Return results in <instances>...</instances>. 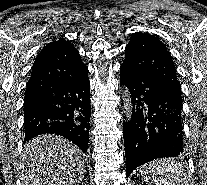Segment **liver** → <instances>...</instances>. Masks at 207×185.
Segmentation results:
<instances>
[{"label":"liver","instance_id":"liver-1","mask_svg":"<svg viewBox=\"0 0 207 185\" xmlns=\"http://www.w3.org/2000/svg\"><path fill=\"white\" fill-rule=\"evenodd\" d=\"M85 165L84 153L68 139L38 135L24 147L21 185H77Z\"/></svg>","mask_w":207,"mask_h":185}]
</instances>
